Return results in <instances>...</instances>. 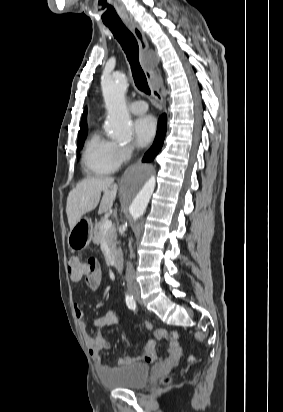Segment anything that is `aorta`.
Listing matches in <instances>:
<instances>
[{"mask_svg":"<svg viewBox=\"0 0 283 412\" xmlns=\"http://www.w3.org/2000/svg\"><path fill=\"white\" fill-rule=\"evenodd\" d=\"M128 77L115 73L102 81V92L108 112L106 131L111 138L128 140L131 137L130 117L125 93ZM155 186V178L146 168L128 171L122 180L123 196L129 200V212L133 220L140 218L148 205Z\"/></svg>","mask_w":283,"mask_h":412,"instance_id":"1","label":"aorta"}]
</instances>
